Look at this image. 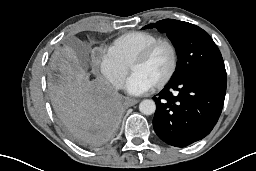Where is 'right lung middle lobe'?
Returning <instances> with one entry per match:
<instances>
[{"mask_svg": "<svg viewBox=\"0 0 256 171\" xmlns=\"http://www.w3.org/2000/svg\"><path fill=\"white\" fill-rule=\"evenodd\" d=\"M72 96V92H71V89L68 91H62L61 90H54L53 93H52V98H53V102H54V105L59 103V102H62V101H66L67 99H69L70 97Z\"/></svg>", "mask_w": 256, "mask_h": 171, "instance_id": "dd1d6c3e", "label": "right lung middle lobe"}]
</instances>
